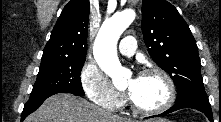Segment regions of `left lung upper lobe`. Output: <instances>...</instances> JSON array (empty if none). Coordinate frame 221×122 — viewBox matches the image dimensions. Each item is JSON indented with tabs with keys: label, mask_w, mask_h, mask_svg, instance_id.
<instances>
[{
	"label": "left lung upper lobe",
	"mask_w": 221,
	"mask_h": 122,
	"mask_svg": "<svg viewBox=\"0 0 221 122\" xmlns=\"http://www.w3.org/2000/svg\"><path fill=\"white\" fill-rule=\"evenodd\" d=\"M142 32L150 56L177 87L176 101L206 95L198 47L173 5L165 0H143Z\"/></svg>",
	"instance_id": "left-lung-upper-lobe-1"
}]
</instances>
